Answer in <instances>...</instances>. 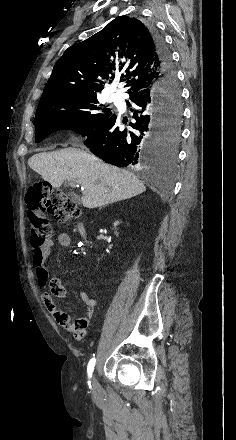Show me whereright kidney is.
<instances>
[{
  "instance_id": "1",
  "label": "right kidney",
  "mask_w": 236,
  "mask_h": 440,
  "mask_svg": "<svg viewBox=\"0 0 236 440\" xmlns=\"http://www.w3.org/2000/svg\"><path fill=\"white\" fill-rule=\"evenodd\" d=\"M118 221H116L115 223H114V227L116 228V226L118 225ZM116 234H117V232H116Z\"/></svg>"
}]
</instances>
